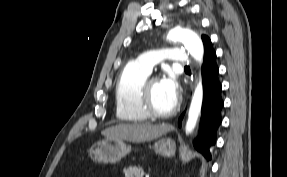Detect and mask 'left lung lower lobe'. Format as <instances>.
Returning a JSON list of instances; mask_svg holds the SVG:
<instances>
[{
	"label": "left lung lower lobe",
	"mask_w": 287,
	"mask_h": 177,
	"mask_svg": "<svg viewBox=\"0 0 287 177\" xmlns=\"http://www.w3.org/2000/svg\"><path fill=\"white\" fill-rule=\"evenodd\" d=\"M204 44V59L202 65L203 78V104L200 130L194 141L195 148L208 160L211 159L210 149L216 143V133L222 122L221 109L223 100L221 97V83L218 79L219 68L216 64V52L212 47L211 40ZM184 114L179 118L178 124Z\"/></svg>",
	"instance_id": "0a47b994"
}]
</instances>
